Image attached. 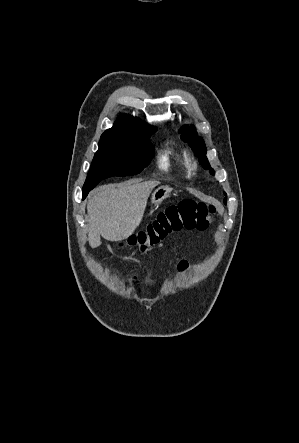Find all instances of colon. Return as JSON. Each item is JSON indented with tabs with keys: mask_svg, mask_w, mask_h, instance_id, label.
I'll return each instance as SVG.
<instances>
[{
	"mask_svg": "<svg viewBox=\"0 0 299 443\" xmlns=\"http://www.w3.org/2000/svg\"><path fill=\"white\" fill-rule=\"evenodd\" d=\"M216 209L212 204L186 199L167 207L145 229L131 234L126 242L138 251L158 244L169 233L182 229H206L213 221Z\"/></svg>",
	"mask_w": 299,
	"mask_h": 443,
	"instance_id": "colon-1",
	"label": "colon"
}]
</instances>
